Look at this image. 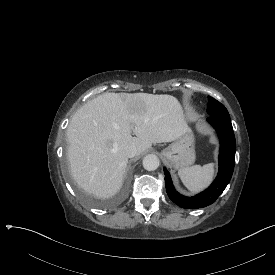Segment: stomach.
<instances>
[{"label": "stomach", "mask_w": 275, "mask_h": 275, "mask_svg": "<svg viewBox=\"0 0 275 275\" xmlns=\"http://www.w3.org/2000/svg\"><path fill=\"white\" fill-rule=\"evenodd\" d=\"M195 143V133L189 126L175 142L163 151V156L174 169L188 168L196 160Z\"/></svg>", "instance_id": "stomach-1"}]
</instances>
